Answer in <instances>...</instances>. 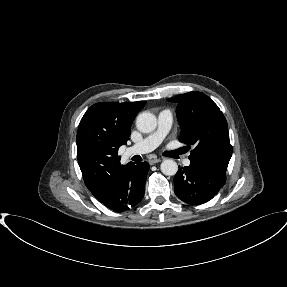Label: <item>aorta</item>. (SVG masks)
<instances>
[{
    "instance_id": "762f6f07",
    "label": "aorta",
    "mask_w": 287,
    "mask_h": 287,
    "mask_svg": "<svg viewBox=\"0 0 287 287\" xmlns=\"http://www.w3.org/2000/svg\"><path fill=\"white\" fill-rule=\"evenodd\" d=\"M136 127L142 133H151L157 127L156 116L150 112H143L137 116ZM161 172L167 176H173L178 171L177 163L172 159L164 160L160 166Z\"/></svg>"
}]
</instances>
